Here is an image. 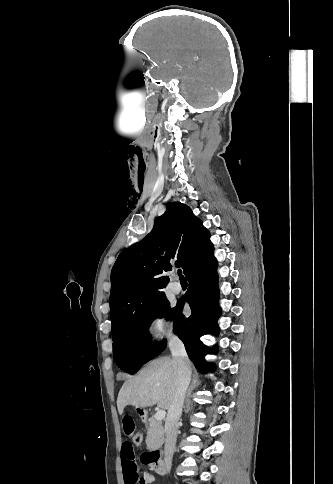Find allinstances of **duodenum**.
<instances>
[{"label": "duodenum", "mask_w": 333, "mask_h": 484, "mask_svg": "<svg viewBox=\"0 0 333 484\" xmlns=\"http://www.w3.org/2000/svg\"><path fill=\"white\" fill-rule=\"evenodd\" d=\"M148 458L151 460V464L153 466V470L159 474H165V464L161 458V451L160 450H153L149 453Z\"/></svg>", "instance_id": "duodenum-1"}]
</instances>
